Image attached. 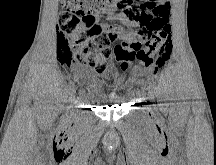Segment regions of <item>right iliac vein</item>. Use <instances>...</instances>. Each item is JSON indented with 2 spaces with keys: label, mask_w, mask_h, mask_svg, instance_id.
<instances>
[{
  "label": "right iliac vein",
  "mask_w": 216,
  "mask_h": 165,
  "mask_svg": "<svg viewBox=\"0 0 216 165\" xmlns=\"http://www.w3.org/2000/svg\"><path fill=\"white\" fill-rule=\"evenodd\" d=\"M73 105H74V102H73V103H71V104H68V107H69V108H72V107H73Z\"/></svg>",
  "instance_id": "obj_1"
}]
</instances>
